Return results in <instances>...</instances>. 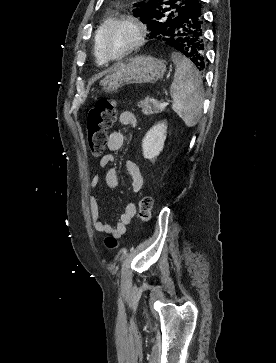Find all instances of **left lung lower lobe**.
<instances>
[{
    "label": "left lung lower lobe",
    "instance_id": "0a47b994",
    "mask_svg": "<svg viewBox=\"0 0 276 363\" xmlns=\"http://www.w3.org/2000/svg\"><path fill=\"white\" fill-rule=\"evenodd\" d=\"M155 39L180 51L202 71L206 61L203 1L188 0L169 22L167 30L157 33Z\"/></svg>",
    "mask_w": 276,
    "mask_h": 363
}]
</instances>
